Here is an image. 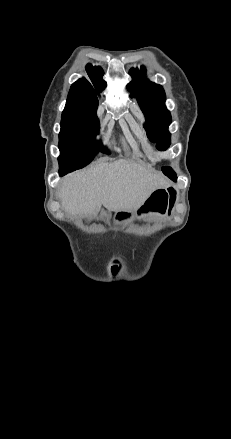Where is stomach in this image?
Masks as SVG:
<instances>
[{
  "instance_id": "1",
  "label": "stomach",
  "mask_w": 231,
  "mask_h": 439,
  "mask_svg": "<svg viewBox=\"0 0 231 439\" xmlns=\"http://www.w3.org/2000/svg\"><path fill=\"white\" fill-rule=\"evenodd\" d=\"M168 192L167 189L159 188L154 190L148 198L137 208L135 215L139 218H144L149 215H164L168 211ZM122 218L119 223L123 224L129 221L132 216H124L125 211L118 212Z\"/></svg>"
}]
</instances>
